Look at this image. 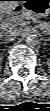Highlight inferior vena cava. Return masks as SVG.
I'll return each instance as SVG.
<instances>
[{
	"label": "inferior vena cava",
	"mask_w": 50,
	"mask_h": 111,
	"mask_svg": "<svg viewBox=\"0 0 50 111\" xmlns=\"http://www.w3.org/2000/svg\"><path fill=\"white\" fill-rule=\"evenodd\" d=\"M20 36V31L14 29V30H9L3 34V38L5 41H14L16 38Z\"/></svg>",
	"instance_id": "602c4592"
}]
</instances>
